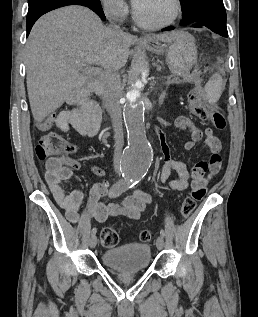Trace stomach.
I'll use <instances>...</instances> for the list:
<instances>
[{
  "label": "stomach",
  "mask_w": 258,
  "mask_h": 317,
  "mask_svg": "<svg viewBox=\"0 0 258 317\" xmlns=\"http://www.w3.org/2000/svg\"><path fill=\"white\" fill-rule=\"evenodd\" d=\"M141 46L152 50L156 54H165L166 62L175 74H180L183 78H187L191 68L198 62V50L195 44V38L190 32L180 30L178 40L161 44L154 38H144L140 40Z\"/></svg>",
  "instance_id": "0dacf381"
}]
</instances>
